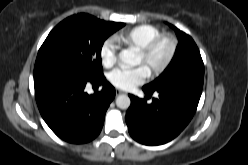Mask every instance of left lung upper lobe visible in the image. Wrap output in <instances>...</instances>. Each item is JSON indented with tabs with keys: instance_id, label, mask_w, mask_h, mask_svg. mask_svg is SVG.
<instances>
[{
	"instance_id": "obj_1",
	"label": "left lung upper lobe",
	"mask_w": 248,
	"mask_h": 165,
	"mask_svg": "<svg viewBox=\"0 0 248 165\" xmlns=\"http://www.w3.org/2000/svg\"><path fill=\"white\" fill-rule=\"evenodd\" d=\"M170 26L179 39L176 53L164 72L143 87L147 90L152 91L167 85H203L204 64L197 45L189 35L173 25Z\"/></svg>"
}]
</instances>
